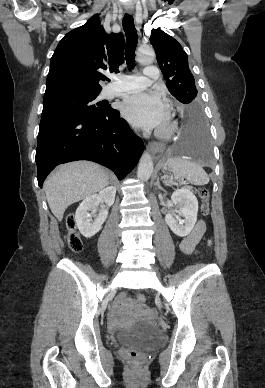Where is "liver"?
I'll list each match as a JSON object with an SVG mask.
<instances>
[{
    "label": "liver",
    "mask_w": 265,
    "mask_h": 388,
    "mask_svg": "<svg viewBox=\"0 0 265 388\" xmlns=\"http://www.w3.org/2000/svg\"><path fill=\"white\" fill-rule=\"evenodd\" d=\"M109 178L98 164L93 162H71L58 166L44 182L48 206L57 218L63 220L70 204L88 198L108 186Z\"/></svg>",
    "instance_id": "obj_1"
}]
</instances>
